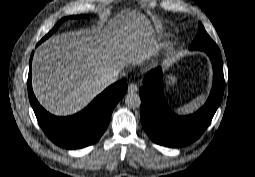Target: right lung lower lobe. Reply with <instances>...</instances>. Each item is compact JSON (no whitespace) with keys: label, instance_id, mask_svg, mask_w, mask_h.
I'll list each match as a JSON object with an SVG mask.
<instances>
[{"label":"right lung lower lobe","instance_id":"1","mask_svg":"<svg viewBox=\"0 0 255 177\" xmlns=\"http://www.w3.org/2000/svg\"><path fill=\"white\" fill-rule=\"evenodd\" d=\"M126 90V81H119L104 90L81 112L69 117H57L43 109L36 100L29 71L28 95L37 120L51 141L68 149L83 148L98 141Z\"/></svg>","mask_w":255,"mask_h":177}]
</instances>
